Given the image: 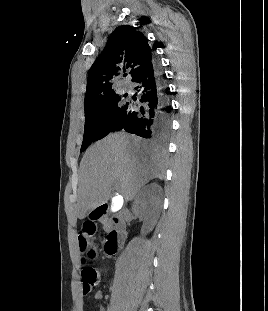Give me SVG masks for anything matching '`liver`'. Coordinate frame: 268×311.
<instances>
[{"label":"liver","instance_id":"obj_1","mask_svg":"<svg viewBox=\"0 0 268 311\" xmlns=\"http://www.w3.org/2000/svg\"><path fill=\"white\" fill-rule=\"evenodd\" d=\"M166 158L158 148L126 133L110 134L96 142L80 163L76 217L106 203L117 183L126 201L132 200L141 187L154 178L163 179Z\"/></svg>","mask_w":268,"mask_h":311}]
</instances>
